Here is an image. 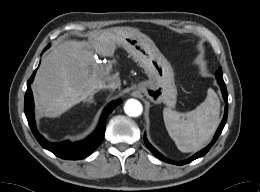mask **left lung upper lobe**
I'll use <instances>...</instances> for the list:
<instances>
[{
  "instance_id": "1",
  "label": "left lung upper lobe",
  "mask_w": 260,
  "mask_h": 192,
  "mask_svg": "<svg viewBox=\"0 0 260 192\" xmlns=\"http://www.w3.org/2000/svg\"><path fill=\"white\" fill-rule=\"evenodd\" d=\"M216 78H223V77H222V70H221V68H219V69L217 70V72H216Z\"/></svg>"
}]
</instances>
